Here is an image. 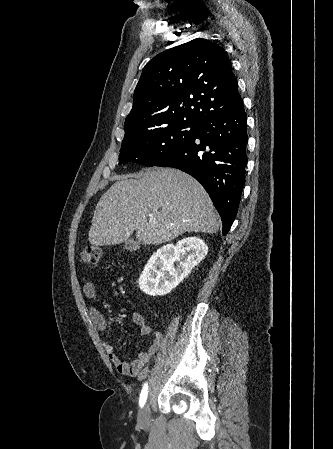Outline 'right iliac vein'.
<instances>
[{
  "label": "right iliac vein",
  "mask_w": 333,
  "mask_h": 449,
  "mask_svg": "<svg viewBox=\"0 0 333 449\" xmlns=\"http://www.w3.org/2000/svg\"><path fill=\"white\" fill-rule=\"evenodd\" d=\"M138 423L140 426H146L150 423V407L146 404L138 415Z\"/></svg>",
  "instance_id": "obj_1"
}]
</instances>
